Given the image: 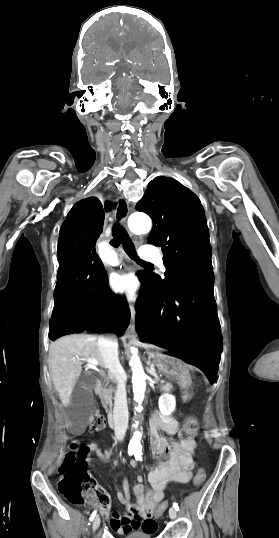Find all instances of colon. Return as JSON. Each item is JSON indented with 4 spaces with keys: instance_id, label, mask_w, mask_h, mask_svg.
<instances>
[{
    "instance_id": "obj_1",
    "label": "colon",
    "mask_w": 279,
    "mask_h": 538,
    "mask_svg": "<svg viewBox=\"0 0 279 538\" xmlns=\"http://www.w3.org/2000/svg\"><path fill=\"white\" fill-rule=\"evenodd\" d=\"M105 427V420L100 415H95L91 422V430L101 431ZM199 424L196 418L189 417L185 421L179 432V439L182 442H189L196 435ZM195 446L192 447L191 454L194 453ZM91 451L86 447H79L76 442L70 445V451L65 455L59 466L58 472L60 481L59 491L73 504L82 505L88 500H92L107 516L110 505L109 495L97 485L95 479L89 474L86 464ZM206 474L204 469L199 468L194 477V484L200 486L204 483ZM168 508V503H161L155 516L160 517ZM133 514L139 512L138 507L132 508Z\"/></svg>"
}]
</instances>
